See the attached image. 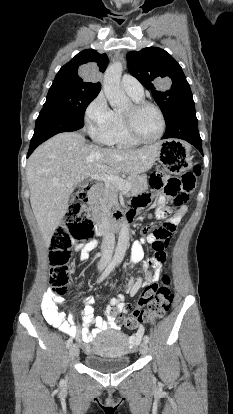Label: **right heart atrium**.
<instances>
[{"label": "right heart atrium", "mask_w": 233, "mask_h": 414, "mask_svg": "<svg viewBox=\"0 0 233 414\" xmlns=\"http://www.w3.org/2000/svg\"><path fill=\"white\" fill-rule=\"evenodd\" d=\"M113 111L103 93H99L86 107L84 122L88 133L98 142L106 143Z\"/></svg>", "instance_id": "right-heart-atrium-1"}]
</instances>
